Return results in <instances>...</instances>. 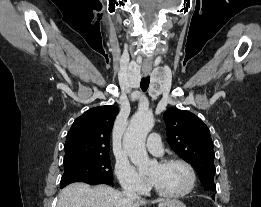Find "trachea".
Returning <instances> with one entry per match:
<instances>
[{"instance_id":"3493384b","label":"trachea","mask_w":261,"mask_h":207,"mask_svg":"<svg viewBox=\"0 0 261 207\" xmlns=\"http://www.w3.org/2000/svg\"><path fill=\"white\" fill-rule=\"evenodd\" d=\"M149 83H150V77L149 76H147V77H143L142 79H141V89H142V91H147V89H148V87H149Z\"/></svg>"}]
</instances>
